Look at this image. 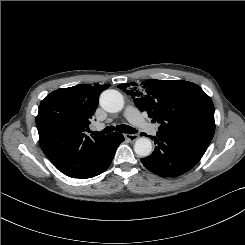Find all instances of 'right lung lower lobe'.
<instances>
[{
    "instance_id": "obj_1",
    "label": "right lung lower lobe",
    "mask_w": 245,
    "mask_h": 245,
    "mask_svg": "<svg viewBox=\"0 0 245 245\" xmlns=\"http://www.w3.org/2000/svg\"><path fill=\"white\" fill-rule=\"evenodd\" d=\"M124 141V137L119 132L109 134L103 147L100 149L94 162L85 170L69 177L79 179L91 178L104 172L112 162L115 151L119 144Z\"/></svg>"
}]
</instances>
